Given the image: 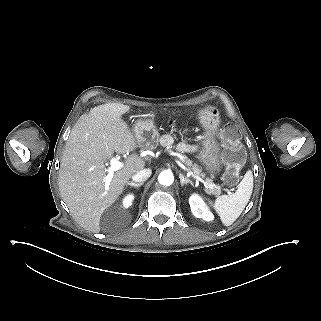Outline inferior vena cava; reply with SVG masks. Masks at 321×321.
Returning a JSON list of instances; mask_svg holds the SVG:
<instances>
[{
    "mask_svg": "<svg viewBox=\"0 0 321 321\" xmlns=\"http://www.w3.org/2000/svg\"><path fill=\"white\" fill-rule=\"evenodd\" d=\"M152 174V170L149 168L146 169H142L139 172H137L136 174H134L132 176L133 181L135 182H144L146 181Z\"/></svg>",
    "mask_w": 321,
    "mask_h": 321,
    "instance_id": "602c4592",
    "label": "inferior vena cava"
}]
</instances>
